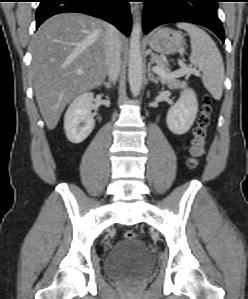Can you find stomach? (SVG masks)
Wrapping results in <instances>:
<instances>
[{
  "instance_id": "0dacf381",
  "label": "stomach",
  "mask_w": 248,
  "mask_h": 299,
  "mask_svg": "<svg viewBox=\"0 0 248 299\" xmlns=\"http://www.w3.org/2000/svg\"><path fill=\"white\" fill-rule=\"evenodd\" d=\"M148 43L155 52L170 55L185 45V39L180 31L163 27L151 34Z\"/></svg>"
}]
</instances>
